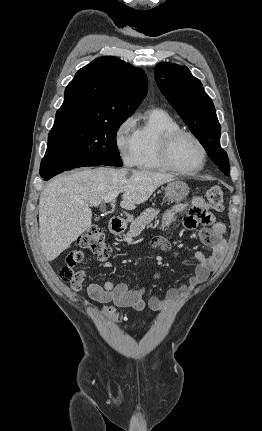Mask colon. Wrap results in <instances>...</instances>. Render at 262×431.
<instances>
[{
    "label": "colon",
    "instance_id": "obj_1",
    "mask_svg": "<svg viewBox=\"0 0 262 431\" xmlns=\"http://www.w3.org/2000/svg\"><path fill=\"white\" fill-rule=\"evenodd\" d=\"M207 205L218 212L224 209V194L218 185L211 186L206 193ZM163 241L162 238H154V244L159 245ZM82 250L91 252L97 257H108L111 253L109 245L106 243L103 234L99 227L91 226L89 230L83 234L78 240V246L72 250L67 256L66 264L59 271L61 280L65 283H72L80 280L81 274L75 268L80 265L82 259ZM122 320L121 317H117Z\"/></svg>",
    "mask_w": 262,
    "mask_h": 431
}]
</instances>
